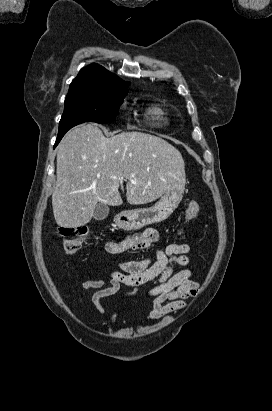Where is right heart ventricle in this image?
<instances>
[{
	"label": "right heart ventricle",
	"instance_id": "right-heart-ventricle-1",
	"mask_svg": "<svg viewBox=\"0 0 272 411\" xmlns=\"http://www.w3.org/2000/svg\"><path fill=\"white\" fill-rule=\"evenodd\" d=\"M148 114L152 116L154 119L161 121L163 123H166L168 121L166 113L161 107L154 106L150 108Z\"/></svg>",
	"mask_w": 272,
	"mask_h": 411
}]
</instances>
